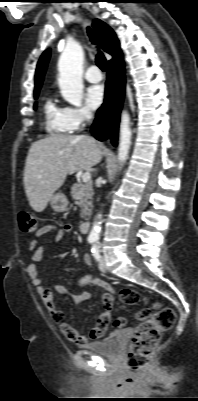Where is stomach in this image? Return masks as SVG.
Here are the masks:
<instances>
[{
  "mask_svg": "<svg viewBox=\"0 0 198 401\" xmlns=\"http://www.w3.org/2000/svg\"><path fill=\"white\" fill-rule=\"evenodd\" d=\"M50 205L56 212H64L68 207V199L62 192L53 194L50 198Z\"/></svg>",
  "mask_w": 198,
  "mask_h": 401,
  "instance_id": "0dacf381",
  "label": "stomach"
}]
</instances>
